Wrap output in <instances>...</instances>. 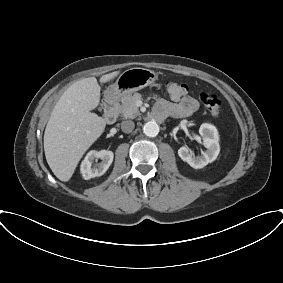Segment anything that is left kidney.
<instances>
[{"label":"left kidney","instance_id":"left-kidney-1","mask_svg":"<svg viewBox=\"0 0 283 283\" xmlns=\"http://www.w3.org/2000/svg\"><path fill=\"white\" fill-rule=\"evenodd\" d=\"M199 133L202 136L204 147L207 148L202 156L195 157L187 146H182L178 150L179 157L195 169H201L216 160L220 152L219 134L214 125L203 123L199 128Z\"/></svg>","mask_w":283,"mask_h":283}]
</instances>
